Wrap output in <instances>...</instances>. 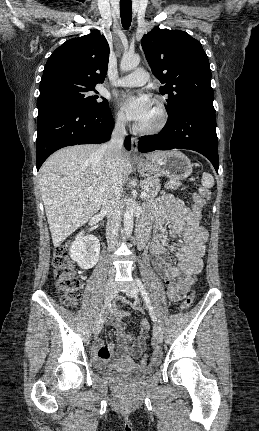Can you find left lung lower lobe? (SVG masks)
I'll return each mask as SVG.
<instances>
[{"label": "left lung lower lobe", "instance_id": "left-lung-lower-lobe-1", "mask_svg": "<svg viewBox=\"0 0 259 431\" xmlns=\"http://www.w3.org/2000/svg\"><path fill=\"white\" fill-rule=\"evenodd\" d=\"M168 120L159 134L139 139L138 150L190 149L204 155L218 173V138L215 112L187 107L168 115Z\"/></svg>", "mask_w": 259, "mask_h": 431}]
</instances>
